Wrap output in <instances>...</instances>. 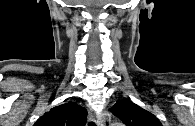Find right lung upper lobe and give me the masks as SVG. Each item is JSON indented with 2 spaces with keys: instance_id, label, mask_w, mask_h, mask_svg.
Returning a JSON list of instances; mask_svg holds the SVG:
<instances>
[{
  "instance_id": "obj_1",
  "label": "right lung upper lobe",
  "mask_w": 195,
  "mask_h": 126,
  "mask_svg": "<svg viewBox=\"0 0 195 126\" xmlns=\"http://www.w3.org/2000/svg\"><path fill=\"white\" fill-rule=\"evenodd\" d=\"M87 111L75 102H68L46 112L34 126H83Z\"/></svg>"
}]
</instances>
